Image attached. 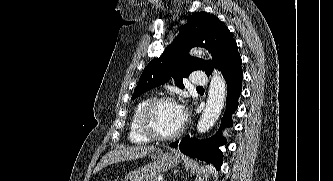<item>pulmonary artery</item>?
Wrapping results in <instances>:
<instances>
[{
  "label": "pulmonary artery",
  "mask_w": 333,
  "mask_h": 181,
  "mask_svg": "<svg viewBox=\"0 0 333 181\" xmlns=\"http://www.w3.org/2000/svg\"><path fill=\"white\" fill-rule=\"evenodd\" d=\"M207 81H208L207 76L202 71H198V72L194 73L193 78H192V83L194 85H198V86L206 85Z\"/></svg>",
  "instance_id": "e3ab8cb5"
}]
</instances>
